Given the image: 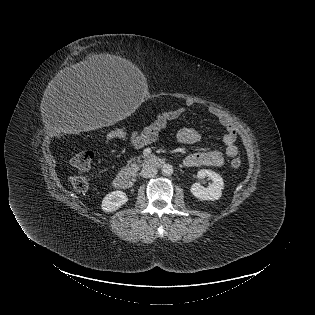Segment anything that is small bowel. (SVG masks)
<instances>
[{"label": "small bowel", "mask_w": 315, "mask_h": 315, "mask_svg": "<svg viewBox=\"0 0 315 315\" xmlns=\"http://www.w3.org/2000/svg\"><path fill=\"white\" fill-rule=\"evenodd\" d=\"M187 106L194 105L193 101H187ZM186 112L184 107L159 113L151 122L143 128L133 131L129 136V145L133 149H141L147 145L157 142L160 139L161 132L167 126L169 121L178 119ZM210 115L218 119L226 132L223 136L225 144L224 151L210 150L189 154L184 159V165L188 167L211 166L221 167L225 163V156L235 157L238 154V148L235 144L237 131L230 117L217 107H209ZM200 133L191 128H182L176 133V140L182 144H193L200 140Z\"/></svg>", "instance_id": "obj_1"}]
</instances>
